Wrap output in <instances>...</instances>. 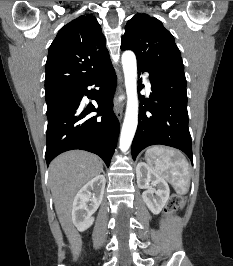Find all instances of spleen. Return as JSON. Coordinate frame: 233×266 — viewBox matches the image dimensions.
I'll use <instances>...</instances> for the list:
<instances>
[{"mask_svg": "<svg viewBox=\"0 0 233 266\" xmlns=\"http://www.w3.org/2000/svg\"><path fill=\"white\" fill-rule=\"evenodd\" d=\"M145 159L159 176L171 183L178 194H186L190 186L189 165L180 152L153 146L147 149Z\"/></svg>", "mask_w": 233, "mask_h": 266, "instance_id": "3e777b00", "label": "spleen"}]
</instances>
